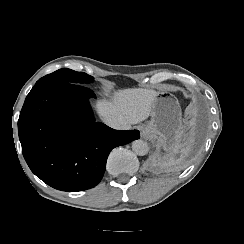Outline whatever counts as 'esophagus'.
<instances>
[{
  "label": "esophagus",
  "mask_w": 244,
  "mask_h": 244,
  "mask_svg": "<svg viewBox=\"0 0 244 244\" xmlns=\"http://www.w3.org/2000/svg\"><path fill=\"white\" fill-rule=\"evenodd\" d=\"M142 136H143L144 139H147L148 133L143 130L142 131Z\"/></svg>",
  "instance_id": "34e87169"
}]
</instances>
